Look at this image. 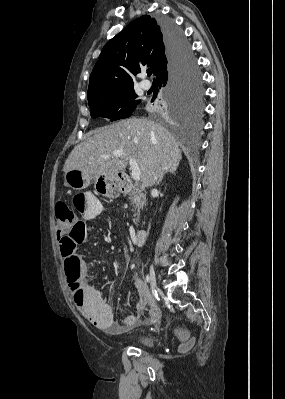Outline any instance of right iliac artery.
Listing matches in <instances>:
<instances>
[{"mask_svg": "<svg viewBox=\"0 0 285 399\" xmlns=\"http://www.w3.org/2000/svg\"><path fill=\"white\" fill-rule=\"evenodd\" d=\"M149 281H150V278H149V275H147L146 276V282L149 283Z\"/></svg>", "mask_w": 285, "mask_h": 399, "instance_id": "obj_1", "label": "right iliac artery"}]
</instances>
